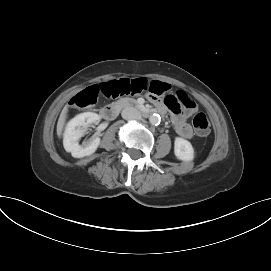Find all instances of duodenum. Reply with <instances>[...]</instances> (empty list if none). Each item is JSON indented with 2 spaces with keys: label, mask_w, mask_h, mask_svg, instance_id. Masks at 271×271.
<instances>
[{
  "label": "duodenum",
  "mask_w": 271,
  "mask_h": 271,
  "mask_svg": "<svg viewBox=\"0 0 271 271\" xmlns=\"http://www.w3.org/2000/svg\"><path fill=\"white\" fill-rule=\"evenodd\" d=\"M119 109H120L119 104H109L101 110V115L106 120H113L117 116ZM139 112L142 116L148 117L156 112H161V110H152V109L142 108L139 110Z\"/></svg>",
  "instance_id": "obj_1"
}]
</instances>
